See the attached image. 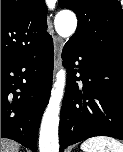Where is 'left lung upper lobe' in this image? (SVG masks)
<instances>
[{
  "mask_svg": "<svg viewBox=\"0 0 123 152\" xmlns=\"http://www.w3.org/2000/svg\"><path fill=\"white\" fill-rule=\"evenodd\" d=\"M59 6L77 15L76 32L68 42L123 63V10L118 0H59Z\"/></svg>",
  "mask_w": 123,
  "mask_h": 152,
  "instance_id": "left-lung-upper-lobe-1",
  "label": "left lung upper lobe"
}]
</instances>
